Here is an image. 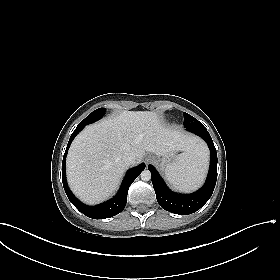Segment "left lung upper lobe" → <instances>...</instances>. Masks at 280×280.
Here are the masks:
<instances>
[{
    "label": "left lung upper lobe",
    "mask_w": 280,
    "mask_h": 280,
    "mask_svg": "<svg viewBox=\"0 0 280 280\" xmlns=\"http://www.w3.org/2000/svg\"><path fill=\"white\" fill-rule=\"evenodd\" d=\"M203 126L197 119L193 116L184 112V127L188 130L191 128H198Z\"/></svg>",
    "instance_id": "obj_1"
}]
</instances>
